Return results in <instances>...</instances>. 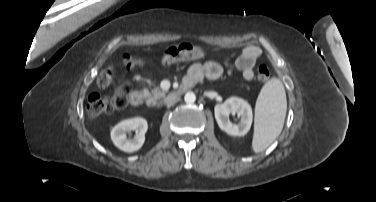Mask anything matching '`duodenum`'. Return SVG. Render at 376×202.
<instances>
[{"label": "duodenum", "mask_w": 376, "mask_h": 202, "mask_svg": "<svg viewBox=\"0 0 376 202\" xmlns=\"http://www.w3.org/2000/svg\"><path fill=\"white\" fill-rule=\"evenodd\" d=\"M191 85L184 83L179 90L175 92V97L181 96L188 88H190ZM129 102L132 106L137 107L140 106L143 103V95L140 91H133L130 94Z\"/></svg>", "instance_id": "duodenum-1"}]
</instances>
